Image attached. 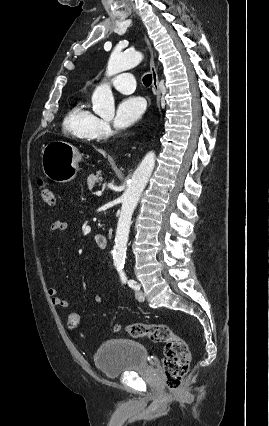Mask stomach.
Listing matches in <instances>:
<instances>
[{"label":"stomach","instance_id":"0dacf381","mask_svg":"<svg viewBox=\"0 0 269 426\" xmlns=\"http://www.w3.org/2000/svg\"><path fill=\"white\" fill-rule=\"evenodd\" d=\"M81 159L76 147L65 141L53 140L42 151V169L50 180L67 183L76 178Z\"/></svg>","mask_w":269,"mask_h":426}]
</instances>
